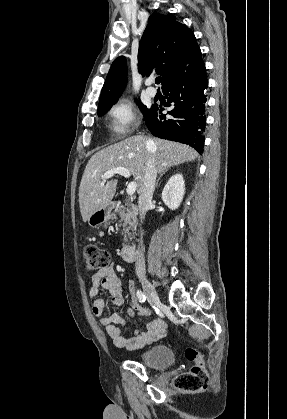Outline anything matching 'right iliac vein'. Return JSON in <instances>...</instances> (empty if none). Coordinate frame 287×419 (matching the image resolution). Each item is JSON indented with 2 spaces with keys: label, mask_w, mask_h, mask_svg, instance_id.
I'll return each mask as SVG.
<instances>
[{
  "label": "right iliac vein",
  "mask_w": 287,
  "mask_h": 419,
  "mask_svg": "<svg viewBox=\"0 0 287 419\" xmlns=\"http://www.w3.org/2000/svg\"><path fill=\"white\" fill-rule=\"evenodd\" d=\"M140 282L148 301L155 306H159L160 299L150 281L146 277H141Z\"/></svg>",
  "instance_id": "1"
}]
</instances>
